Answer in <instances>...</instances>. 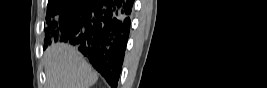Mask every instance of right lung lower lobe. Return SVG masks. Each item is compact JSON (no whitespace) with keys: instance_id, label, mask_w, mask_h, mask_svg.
I'll list each match as a JSON object with an SVG mask.
<instances>
[{"instance_id":"98d812e1","label":"right lung lower lobe","mask_w":267,"mask_h":88,"mask_svg":"<svg viewBox=\"0 0 267 88\" xmlns=\"http://www.w3.org/2000/svg\"><path fill=\"white\" fill-rule=\"evenodd\" d=\"M134 0H74L50 21L49 40L75 45L115 87L129 38Z\"/></svg>"}]
</instances>
